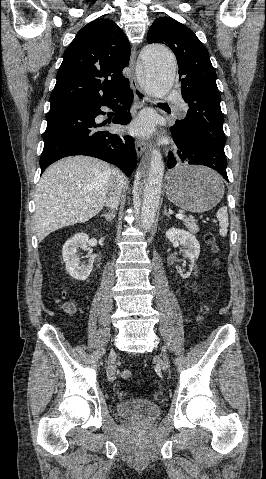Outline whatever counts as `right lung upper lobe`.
<instances>
[{
  "instance_id": "cb5924a9",
  "label": "right lung upper lobe",
  "mask_w": 266,
  "mask_h": 479,
  "mask_svg": "<svg viewBox=\"0 0 266 479\" xmlns=\"http://www.w3.org/2000/svg\"><path fill=\"white\" fill-rule=\"evenodd\" d=\"M130 59L124 32L108 19L84 26L63 54L50 108L113 97L129 86L122 74Z\"/></svg>"
}]
</instances>
